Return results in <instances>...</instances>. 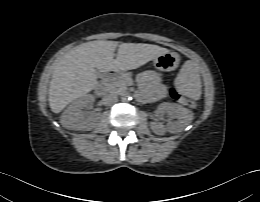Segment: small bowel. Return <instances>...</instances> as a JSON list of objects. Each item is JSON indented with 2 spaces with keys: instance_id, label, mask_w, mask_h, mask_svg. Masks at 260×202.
Here are the masks:
<instances>
[{
  "instance_id": "c3829d8e",
  "label": "small bowel",
  "mask_w": 260,
  "mask_h": 202,
  "mask_svg": "<svg viewBox=\"0 0 260 202\" xmlns=\"http://www.w3.org/2000/svg\"><path fill=\"white\" fill-rule=\"evenodd\" d=\"M139 82L146 88L151 99L162 98L165 94V88L160 83V78L155 72H146L139 77Z\"/></svg>"
}]
</instances>
